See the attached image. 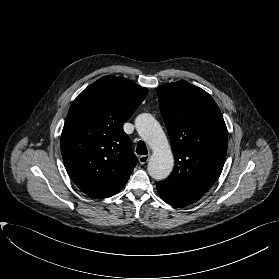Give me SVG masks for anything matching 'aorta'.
Returning a JSON list of instances; mask_svg holds the SVG:
<instances>
[{"label":"aorta","mask_w":279,"mask_h":279,"mask_svg":"<svg viewBox=\"0 0 279 279\" xmlns=\"http://www.w3.org/2000/svg\"><path fill=\"white\" fill-rule=\"evenodd\" d=\"M135 125L153 151L148 163L149 175L156 180L167 178L173 170L174 156L159 122L151 114L143 113L136 118Z\"/></svg>","instance_id":"762f6f07"}]
</instances>
